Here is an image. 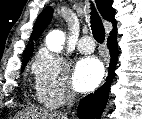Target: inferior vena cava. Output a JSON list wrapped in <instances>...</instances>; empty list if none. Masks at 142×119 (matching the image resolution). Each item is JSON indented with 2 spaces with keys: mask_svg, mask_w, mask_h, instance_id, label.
<instances>
[{
  "mask_svg": "<svg viewBox=\"0 0 142 119\" xmlns=\"http://www.w3.org/2000/svg\"><path fill=\"white\" fill-rule=\"evenodd\" d=\"M75 101V92L73 90H69L67 94V106L71 108Z\"/></svg>",
  "mask_w": 142,
  "mask_h": 119,
  "instance_id": "1",
  "label": "inferior vena cava"
}]
</instances>
